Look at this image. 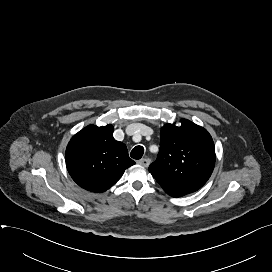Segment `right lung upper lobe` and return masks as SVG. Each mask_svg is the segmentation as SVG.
I'll return each mask as SVG.
<instances>
[{
    "instance_id": "right-lung-upper-lobe-1",
    "label": "right lung upper lobe",
    "mask_w": 272,
    "mask_h": 272,
    "mask_svg": "<svg viewBox=\"0 0 272 272\" xmlns=\"http://www.w3.org/2000/svg\"><path fill=\"white\" fill-rule=\"evenodd\" d=\"M113 131L112 125H89L71 138L65 153L66 166L80 187L104 192L135 164L126 145L113 138Z\"/></svg>"
}]
</instances>
